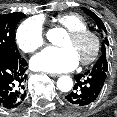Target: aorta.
Listing matches in <instances>:
<instances>
[{
  "label": "aorta",
  "instance_id": "aorta-1",
  "mask_svg": "<svg viewBox=\"0 0 117 117\" xmlns=\"http://www.w3.org/2000/svg\"><path fill=\"white\" fill-rule=\"evenodd\" d=\"M63 34L64 30L62 28H54L48 31L47 38L51 43L57 44ZM57 87L61 92H69L73 87L72 78L69 76H61L57 81Z\"/></svg>",
  "mask_w": 117,
  "mask_h": 117
}]
</instances>
